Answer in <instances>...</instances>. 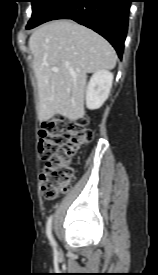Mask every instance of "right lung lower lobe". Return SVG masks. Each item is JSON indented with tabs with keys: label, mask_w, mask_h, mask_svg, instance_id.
Listing matches in <instances>:
<instances>
[{
	"label": "right lung lower lobe",
	"mask_w": 158,
	"mask_h": 275,
	"mask_svg": "<svg viewBox=\"0 0 158 275\" xmlns=\"http://www.w3.org/2000/svg\"><path fill=\"white\" fill-rule=\"evenodd\" d=\"M131 0H56L34 28L55 19H72L106 38L121 58Z\"/></svg>",
	"instance_id": "1"
}]
</instances>
